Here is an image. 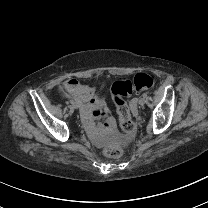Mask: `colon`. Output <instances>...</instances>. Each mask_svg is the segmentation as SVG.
Returning <instances> with one entry per match:
<instances>
[{
    "label": "colon",
    "mask_w": 208,
    "mask_h": 208,
    "mask_svg": "<svg viewBox=\"0 0 208 208\" xmlns=\"http://www.w3.org/2000/svg\"><path fill=\"white\" fill-rule=\"evenodd\" d=\"M153 85V78L144 73H138L132 79L117 80L112 84V99L123 130L127 134L136 130V125L130 117L127 98L134 92L149 90ZM103 152L108 159L114 160L121 155L122 149L117 142L111 141L104 146Z\"/></svg>",
    "instance_id": "5ec220e1"
}]
</instances>
